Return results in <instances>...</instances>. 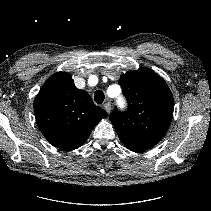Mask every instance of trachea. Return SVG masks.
I'll list each match as a JSON object with an SVG mask.
<instances>
[{"label": "trachea", "mask_w": 211, "mask_h": 211, "mask_svg": "<svg viewBox=\"0 0 211 211\" xmlns=\"http://www.w3.org/2000/svg\"><path fill=\"white\" fill-rule=\"evenodd\" d=\"M104 98H105V95H104L103 91L97 90L94 93V100L97 104H102L104 101Z\"/></svg>", "instance_id": "obj_1"}]
</instances>
